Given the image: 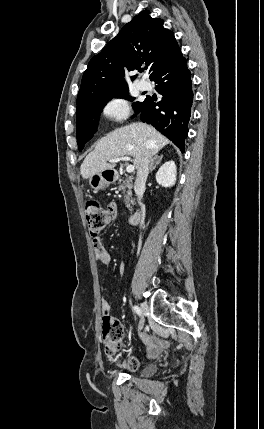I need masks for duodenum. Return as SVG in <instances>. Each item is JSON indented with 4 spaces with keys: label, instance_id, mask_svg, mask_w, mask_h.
Returning a JSON list of instances; mask_svg holds the SVG:
<instances>
[{
    "label": "duodenum",
    "instance_id": "410a0bca",
    "mask_svg": "<svg viewBox=\"0 0 264 429\" xmlns=\"http://www.w3.org/2000/svg\"><path fill=\"white\" fill-rule=\"evenodd\" d=\"M114 179H117L118 176L116 174L113 175ZM142 218V209H137L134 213H132L129 217V223L131 225H138Z\"/></svg>",
    "mask_w": 264,
    "mask_h": 429
}]
</instances>
